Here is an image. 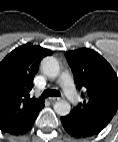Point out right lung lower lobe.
<instances>
[{"label": "right lung lower lobe", "instance_id": "right-lung-lower-lobe-1", "mask_svg": "<svg viewBox=\"0 0 118 142\" xmlns=\"http://www.w3.org/2000/svg\"><path fill=\"white\" fill-rule=\"evenodd\" d=\"M32 125H33V123L30 126H28L27 128H25L24 130H22L21 132L17 133V134H23V133L27 132L32 127Z\"/></svg>", "mask_w": 118, "mask_h": 142}]
</instances>
